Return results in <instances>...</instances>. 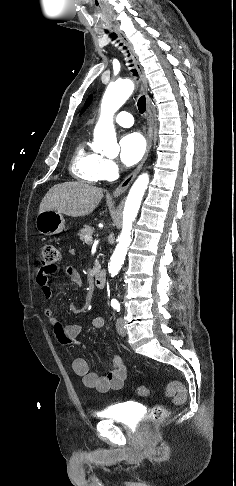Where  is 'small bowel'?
<instances>
[{
  "instance_id": "obj_1",
  "label": "small bowel",
  "mask_w": 236,
  "mask_h": 486,
  "mask_svg": "<svg viewBox=\"0 0 236 486\" xmlns=\"http://www.w3.org/2000/svg\"><path fill=\"white\" fill-rule=\"evenodd\" d=\"M56 271V267L50 271L40 268L37 272L36 281L40 286L42 294L45 298L50 299L53 295L49 276ZM66 274L77 285L82 286L83 282L79 273L72 267H66ZM44 314L49 318L52 327L54 328L56 337L62 344L77 343L76 338L82 331L80 324L63 325L54 316L53 310L50 306H46ZM105 324L103 317H95L92 325L95 328H101ZM73 371L76 375L82 378L85 387L95 389L100 393L108 392L109 390L120 389L126 379V367L119 356H114L111 361V368L104 375L100 376L95 372L90 371L88 363L83 358H76L72 362Z\"/></svg>"
}]
</instances>
